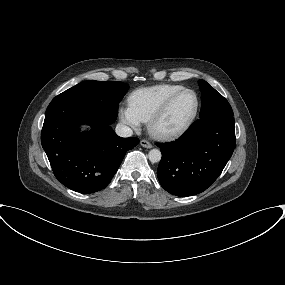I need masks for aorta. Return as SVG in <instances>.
Segmentation results:
<instances>
[{"mask_svg":"<svg viewBox=\"0 0 285 285\" xmlns=\"http://www.w3.org/2000/svg\"><path fill=\"white\" fill-rule=\"evenodd\" d=\"M161 152L160 150L158 149H152L149 151L148 153V157H149V160L152 162V163H157L161 160Z\"/></svg>","mask_w":285,"mask_h":285,"instance_id":"obj_1","label":"aorta"}]
</instances>
